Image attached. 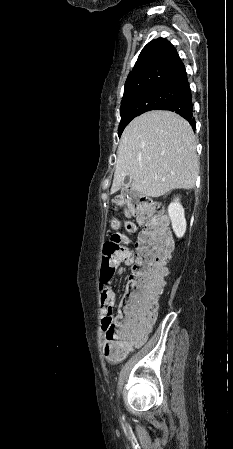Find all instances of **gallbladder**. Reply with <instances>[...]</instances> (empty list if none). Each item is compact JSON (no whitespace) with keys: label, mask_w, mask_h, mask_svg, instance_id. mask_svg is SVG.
<instances>
[{"label":"gallbladder","mask_w":233,"mask_h":449,"mask_svg":"<svg viewBox=\"0 0 233 449\" xmlns=\"http://www.w3.org/2000/svg\"><path fill=\"white\" fill-rule=\"evenodd\" d=\"M129 185H130V179H129V177L127 176V177H125V179H124L123 188H122V195H127V194H129L132 198H136L137 196H140V193H139V192L129 191V190H128Z\"/></svg>","instance_id":"1"}]
</instances>
